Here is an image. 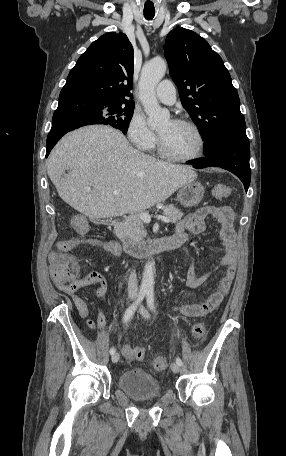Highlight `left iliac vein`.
I'll use <instances>...</instances> for the list:
<instances>
[{
    "instance_id": "left-iliac-vein-1",
    "label": "left iliac vein",
    "mask_w": 286,
    "mask_h": 456,
    "mask_svg": "<svg viewBox=\"0 0 286 456\" xmlns=\"http://www.w3.org/2000/svg\"><path fill=\"white\" fill-rule=\"evenodd\" d=\"M139 312L142 314V316L145 318V319H149L150 318V315L148 313V311L145 309V307L143 305H141L139 307ZM171 370L174 372V373H179L180 372V365L177 364V363H172L171 364Z\"/></svg>"
}]
</instances>
